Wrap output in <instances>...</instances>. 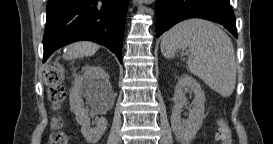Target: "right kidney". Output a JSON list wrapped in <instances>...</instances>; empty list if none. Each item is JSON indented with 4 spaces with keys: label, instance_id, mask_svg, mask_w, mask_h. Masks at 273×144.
I'll use <instances>...</instances> for the list:
<instances>
[{
    "label": "right kidney",
    "instance_id": "ca27d5eb",
    "mask_svg": "<svg viewBox=\"0 0 273 144\" xmlns=\"http://www.w3.org/2000/svg\"><path fill=\"white\" fill-rule=\"evenodd\" d=\"M83 70L84 74L70 91V109L76 115L77 123L81 125L84 138L88 142L96 144L105 133L107 120L100 117L97 119L95 127H90V119L84 108L81 95L88 97V100L92 103L93 101H104L113 97V92L108 75L102 67L86 66Z\"/></svg>",
    "mask_w": 273,
    "mask_h": 144
}]
</instances>
